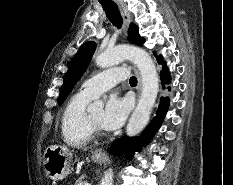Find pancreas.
<instances>
[{"label":"pancreas","instance_id":"obj_1","mask_svg":"<svg viewBox=\"0 0 233 185\" xmlns=\"http://www.w3.org/2000/svg\"><path fill=\"white\" fill-rule=\"evenodd\" d=\"M75 185H84V182L79 179L76 181Z\"/></svg>","mask_w":233,"mask_h":185}]
</instances>
